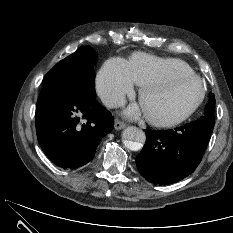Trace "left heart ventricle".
<instances>
[{
  "instance_id": "b2bd125f",
  "label": "left heart ventricle",
  "mask_w": 233,
  "mask_h": 233,
  "mask_svg": "<svg viewBox=\"0 0 233 233\" xmlns=\"http://www.w3.org/2000/svg\"><path fill=\"white\" fill-rule=\"evenodd\" d=\"M200 94V84L196 80L186 79L147 91L142 98L141 106L145 113L153 117L173 119L186 113Z\"/></svg>"
}]
</instances>
